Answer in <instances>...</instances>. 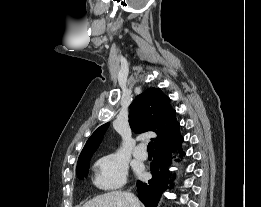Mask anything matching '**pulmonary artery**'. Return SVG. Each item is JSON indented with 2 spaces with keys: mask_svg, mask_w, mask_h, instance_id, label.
<instances>
[{
  "mask_svg": "<svg viewBox=\"0 0 261 207\" xmlns=\"http://www.w3.org/2000/svg\"><path fill=\"white\" fill-rule=\"evenodd\" d=\"M134 156L140 160H145L147 158V153L144 144H139L134 149Z\"/></svg>",
  "mask_w": 261,
  "mask_h": 207,
  "instance_id": "pulmonary-artery-1",
  "label": "pulmonary artery"
}]
</instances>
